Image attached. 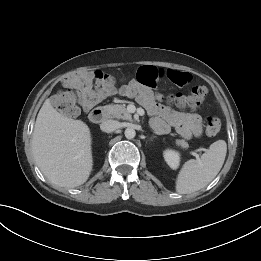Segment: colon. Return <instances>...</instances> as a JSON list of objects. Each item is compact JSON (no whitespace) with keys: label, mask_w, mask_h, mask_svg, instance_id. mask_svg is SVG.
Returning a JSON list of instances; mask_svg holds the SVG:
<instances>
[{"label":"colon","mask_w":261,"mask_h":261,"mask_svg":"<svg viewBox=\"0 0 261 261\" xmlns=\"http://www.w3.org/2000/svg\"><path fill=\"white\" fill-rule=\"evenodd\" d=\"M94 79L98 87L112 85L114 78L109 74L100 71L94 73ZM207 90L204 86H196L189 95L170 94L166 101L181 109L197 108L204 101ZM54 106L63 114L73 117L78 113L75 95L71 91H60L53 98ZM221 128V121L217 117H208L206 132L208 135H216Z\"/></svg>","instance_id":"obj_1"}]
</instances>
